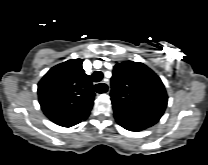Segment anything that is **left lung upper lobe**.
<instances>
[{"mask_svg":"<svg viewBox=\"0 0 208 165\" xmlns=\"http://www.w3.org/2000/svg\"><path fill=\"white\" fill-rule=\"evenodd\" d=\"M111 101L116 121L151 127L162 117L168 96L161 79L145 64H116L111 78Z\"/></svg>","mask_w":208,"mask_h":165,"instance_id":"5c2ea615","label":"left lung upper lobe"}]
</instances>
